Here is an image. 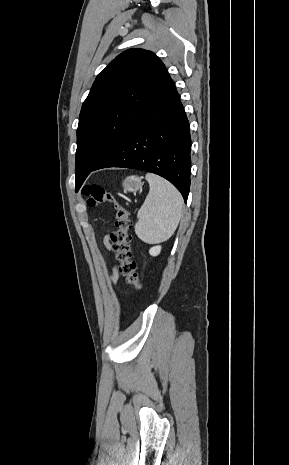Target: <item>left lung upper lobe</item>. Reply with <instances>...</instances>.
<instances>
[{
	"label": "left lung upper lobe",
	"mask_w": 289,
	"mask_h": 465,
	"mask_svg": "<svg viewBox=\"0 0 289 465\" xmlns=\"http://www.w3.org/2000/svg\"><path fill=\"white\" fill-rule=\"evenodd\" d=\"M169 79L162 61L143 49L126 50L98 74L79 117L76 190Z\"/></svg>",
	"instance_id": "1"
}]
</instances>
